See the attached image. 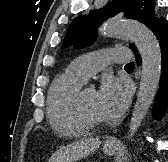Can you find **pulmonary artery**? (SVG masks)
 Masks as SVG:
<instances>
[{"label":"pulmonary artery","mask_w":168,"mask_h":162,"mask_svg":"<svg viewBox=\"0 0 168 162\" xmlns=\"http://www.w3.org/2000/svg\"><path fill=\"white\" fill-rule=\"evenodd\" d=\"M130 60V51L127 48H104L76 58L69 65V69L85 82L92 74L104 69L112 62L121 63Z\"/></svg>","instance_id":"1"}]
</instances>
